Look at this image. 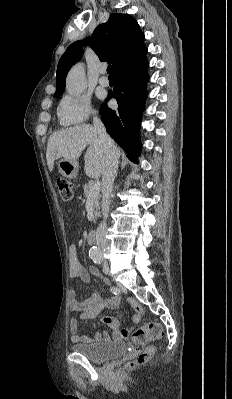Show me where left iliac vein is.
I'll return each mask as SVG.
<instances>
[{
    "label": "left iliac vein",
    "mask_w": 232,
    "mask_h": 399,
    "mask_svg": "<svg viewBox=\"0 0 232 399\" xmlns=\"http://www.w3.org/2000/svg\"><path fill=\"white\" fill-rule=\"evenodd\" d=\"M103 271H104V274H105V275H108V274H109L108 266H105V267L103 268Z\"/></svg>",
    "instance_id": "left-iliac-vein-1"
}]
</instances>
